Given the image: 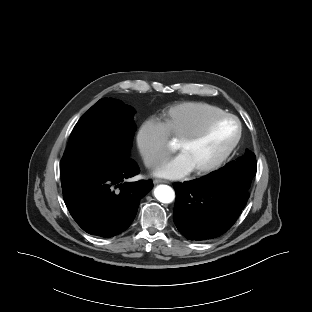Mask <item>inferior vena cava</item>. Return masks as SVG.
I'll use <instances>...</instances> for the list:
<instances>
[{
	"label": "inferior vena cava",
	"mask_w": 312,
	"mask_h": 312,
	"mask_svg": "<svg viewBox=\"0 0 312 312\" xmlns=\"http://www.w3.org/2000/svg\"><path fill=\"white\" fill-rule=\"evenodd\" d=\"M148 166H150V167H154V166H156V164H155V163H153V162H150V163H148Z\"/></svg>",
	"instance_id": "inferior-vena-cava-1"
}]
</instances>
